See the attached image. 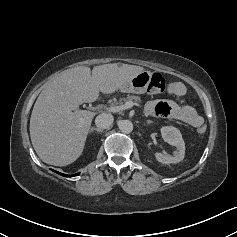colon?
I'll return each instance as SVG.
<instances>
[{
    "label": "colon",
    "instance_id": "5ec220e1",
    "mask_svg": "<svg viewBox=\"0 0 237 237\" xmlns=\"http://www.w3.org/2000/svg\"><path fill=\"white\" fill-rule=\"evenodd\" d=\"M166 87H167V82L161 74L154 73L151 76L150 84H149V88H148V91L150 93H154V94L163 93L166 90ZM206 130H207V128L203 124L200 127H198V132L200 134H204L206 132Z\"/></svg>",
    "mask_w": 237,
    "mask_h": 237
}]
</instances>
